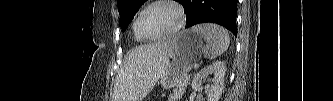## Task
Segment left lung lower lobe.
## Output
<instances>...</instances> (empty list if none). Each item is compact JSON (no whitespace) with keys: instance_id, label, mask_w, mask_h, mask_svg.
I'll list each match as a JSON object with an SVG mask.
<instances>
[{"instance_id":"0a47b994","label":"left lung lower lobe","mask_w":333,"mask_h":101,"mask_svg":"<svg viewBox=\"0 0 333 101\" xmlns=\"http://www.w3.org/2000/svg\"><path fill=\"white\" fill-rule=\"evenodd\" d=\"M187 26L212 22L222 25L237 36V0H182Z\"/></svg>"}]
</instances>
